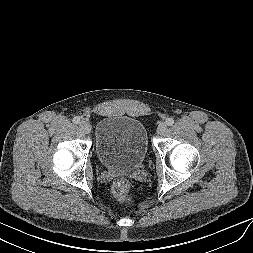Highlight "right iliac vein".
Listing matches in <instances>:
<instances>
[{"mask_svg":"<svg viewBox=\"0 0 253 253\" xmlns=\"http://www.w3.org/2000/svg\"><path fill=\"white\" fill-rule=\"evenodd\" d=\"M79 128L85 134H88L91 131V125L87 121H81L79 123Z\"/></svg>","mask_w":253,"mask_h":253,"instance_id":"obj_1","label":"right iliac vein"}]
</instances>
